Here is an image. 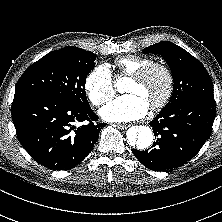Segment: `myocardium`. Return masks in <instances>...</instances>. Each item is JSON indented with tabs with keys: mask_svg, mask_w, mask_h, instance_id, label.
<instances>
[{
	"mask_svg": "<svg viewBox=\"0 0 222 222\" xmlns=\"http://www.w3.org/2000/svg\"><path fill=\"white\" fill-rule=\"evenodd\" d=\"M159 70L162 71L166 77V89L162 97L159 101H157L155 104L150 106V110L152 111H159L162 108H164L168 102L170 101L173 92H174V86H175V78L172 70L165 64L153 62L140 70H138L136 73L130 76L131 80L142 82L144 81L151 73L154 71Z\"/></svg>",
	"mask_w": 222,
	"mask_h": 222,
	"instance_id": "f54148a6",
	"label": "myocardium"
}]
</instances>
